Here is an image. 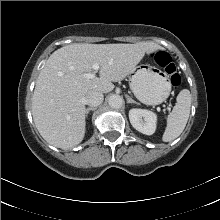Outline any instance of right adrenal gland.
<instances>
[{
	"mask_svg": "<svg viewBox=\"0 0 220 220\" xmlns=\"http://www.w3.org/2000/svg\"><path fill=\"white\" fill-rule=\"evenodd\" d=\"M94 110H96V108H94V107H89V108H87V109L85 110L86 116L88 115V113H89L90 111H94Z\"/></svg>",
	"mask_w": 220,
	"mask_h": 220,
	"instance_id": "1",
	"label": "right adrenal gland"
}]
</instances>
